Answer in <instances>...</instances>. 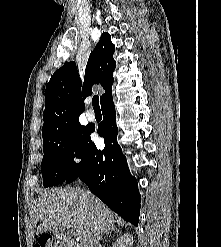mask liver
Segmentation results:
<instances>
[{
  "instance_id": "1",
  "label": "liver",
  "mask_w": 221,
  "mask_h": 247,
  "mask_svg": "<svg viewBox=\"0 0 221 247\" xmlns=\"http://www.w3.org/2000/svg\"><path fill=\"white\" fill-rule=\"evenodd\" d=\"M115 222L105 204L80 188L45 192L36 201L32 216L37 234L46 230L54 233L62 227L80 239V247H96L103 232L115 227Z\"/></svg>"
}]
</instances>
